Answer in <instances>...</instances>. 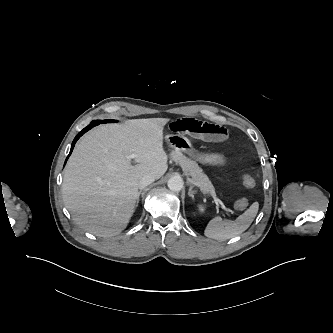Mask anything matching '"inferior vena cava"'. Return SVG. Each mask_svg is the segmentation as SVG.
<instances>
[{
    "instance_id": "obj_1",
    "label": "inferior vena cava",
    "mask_w": 333,
    "mask_h": 333,
    "mask_svg": "<svg viewBox=\"0 0 333 333\" xmlns=\"http://www.w3.org/2000/svg\"><path fill=\"white\" fill-rule=\"evenodd\" d=\"M155 181V177L152 175H145L143 176L139 183H138V188L139 189H143L146 186L150 185L151 183H153Z\"/></svg>"
}]
</instances>
